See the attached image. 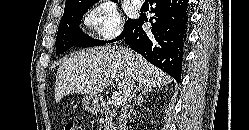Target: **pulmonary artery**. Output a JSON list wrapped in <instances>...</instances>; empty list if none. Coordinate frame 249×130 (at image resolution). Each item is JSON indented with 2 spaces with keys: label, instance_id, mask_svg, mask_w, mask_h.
<instances>
[{
  "label": "pulmonary artery",
  "instance_id": "1",
  "mask_svg": "<svg viewBox=\"0 0 249 130\" xmlns=\"http://www.w3.org/2000/svg\"><path fill=\"white\" fill-rule=\"evenodd\" d=\"M144 0H132L134 7L140 8L143 5Z\"/></svg>",
  "mask_w": 249,
  "mask_h": 130
}]
</instances>
